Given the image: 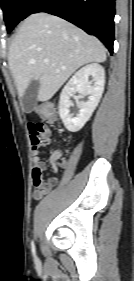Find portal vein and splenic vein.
I'll return each instance as SVG.
<instances>
[{
  "label": "portal vein and splenic vein",
  "mask_w": 134,
  "mask_h": 281,
  "mask_svg": "<svg viewBox=\"0 0 134 281\" xmlns=\"http://www.w3.org/2000/svg\"><path fill=\"white\" fill-rule=\"evenodd\" d=\"M44 62H45V63H48V62H49V60H48V59H45V60H44Z\"/></svg>",
  "instance_id": "18ae733b"
}]
</instances>
